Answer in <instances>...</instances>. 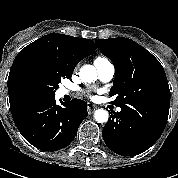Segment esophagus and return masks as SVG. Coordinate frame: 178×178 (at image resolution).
I'll use <instances>...</instances> for the list:
<instances>
[{
	"label": "esophagus",
	"mask_w": 178,
	"mask_h": 178,
	"mask_svg": "<svg viewBox=\"0 0 178 178\" xmlns=\"http://www.w3.org/2000/svg\"><path fill=\"white\" fill-rule=\"evenodd\" d=\"M96 108H97V106H95V105L92 104V103H88V104H87V109H88V113H89V114H92L93 111H94Z\"/></svg>",
	"instance_id": "1"
}]
</instances>
